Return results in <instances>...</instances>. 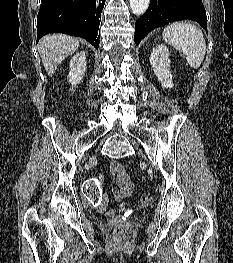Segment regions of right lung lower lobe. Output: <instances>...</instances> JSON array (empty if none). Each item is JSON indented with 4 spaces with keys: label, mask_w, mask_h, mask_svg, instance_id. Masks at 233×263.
<instances>
[{
    "label": "right lung lower lobe",
    "mask_w": 233,
    "mask_h": 263,
    "mask_svg": "<svg viewBox=\"0 0 233 263\" xmlns=\"http://www.w3.org/2000/svg\"><path fill=\"white\" fill-rule=\"evenodd\" d=\"M104 4L105 0H42L37 41L49 33H65L85 38L97 49Z\"/></svg>",
    "instance_id": "1"
}]
</instances>
